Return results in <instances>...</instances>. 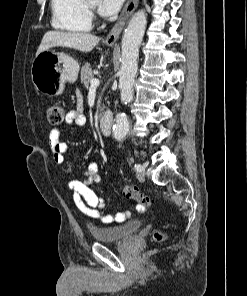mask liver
<instances>
[{"mask_svg":"<svg viewBox=\"0 0 247 296\" xmlns=\"http://www.w3.org/2000/svg\"><path fill=\"white\" fill-rule=\"evenodd\" d=\"M100 38L89 33L48 31L43 36L36 55L52 47H67L84 53L90 52Z\"/></svg>","mask_w":247,"mask_h":296,"instance_id":"obj_1","label":"liver"}]
</instances>
